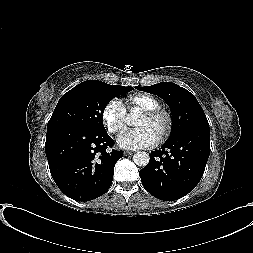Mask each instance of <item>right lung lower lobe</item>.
Segmentation results:
<instances>
[{"label": "right lung lower lobe", "mask_w": 253, "mask_h": 253, "mask_svg": "<svg viewBox=\"0 0 253 253\" xmlns=\"http://www.w3.org/2000/svg\"><path fill=\"white\" fill-rule=\"evenodd\" d=\"M114 140L106 131L65 126L47 131L45 152L59 189L77 201H90L111 186L122 151L106 150Z\"/></svg>", "instance_id": "1"}]
</instances>
